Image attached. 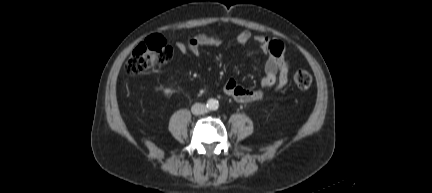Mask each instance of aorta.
I'll return each instance as SVG.
<instances>
[{
	"label": "aorta",
	"mask_w": 432,
	"mask_h": 193,
	"mask_svg": "<svg viewBox=\"0 0 432 193\" xmlns=\"http://www.w3.org/2000/svg\"><path fill=\"white\" fill-rule=\"evenodd\" d=\"M207 106H208V108L210 110H216L218 108V106H219V103H218V101L216 99H210L207 102Z\"/></svg>",
	"instance_id": "aorta-1"
}]
</instances>
